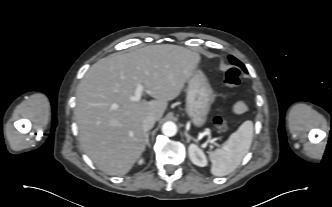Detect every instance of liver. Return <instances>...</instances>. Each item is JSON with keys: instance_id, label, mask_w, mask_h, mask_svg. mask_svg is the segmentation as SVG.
Listing matches in <instances>:
<instances>
[{"instance_id": "obj_1", "label": "liver", "mask_w": 332, "mask_h": 207, "mask_svg": "<svg viewBox=\"0 0 332 207\" xmlns=\"http://www.w3.org/2000/svg\"><path fill=\"white\" fill-rule=\"evenodd\" d=\"M201 61L199 53L162 44L114 53L93 64L76 91L79 140L108 175H125L145 150L142 121L163 116ZM155 100L132 101L137 85Z\"/></svg>"}]
</instances>
